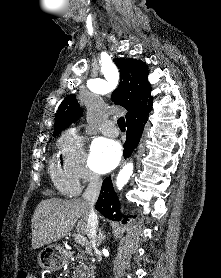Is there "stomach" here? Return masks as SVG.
<instances>
[{"label":"stomach","mask_w":221,"mask_h":278,"mask_svg":"<svg viewBox=\"0 0 221 278\" xmlns=\"http://www.w3.org/2000/svg\"><path fill=\"white\" fill-rule=\"evenodd\" d=\"M38 263L49 271H58L66 263V256L57 245H49L38 254Z\"/></svg>","instance_id":"obj_1"}]
</instances>
